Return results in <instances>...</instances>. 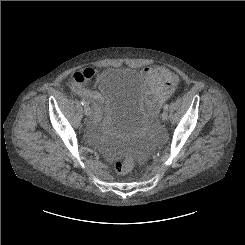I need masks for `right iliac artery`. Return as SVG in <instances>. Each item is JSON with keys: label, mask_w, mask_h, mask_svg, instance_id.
<instances>
[{"label": "right iliac artery", "mask_w": 245, "mask_h": 245, "mask_svg": "<svg viewBox=\"0 0 245 245\" xmlns=\"http://www.w3.org/2000/svg\"><path fill=\"white\" fill-rule=\"evenodd\" d=\"M81 104H82L83 106H86V102H85L84 100H81Z\"/></svg>", "instance_id": "obj_1"}]
</instances>
